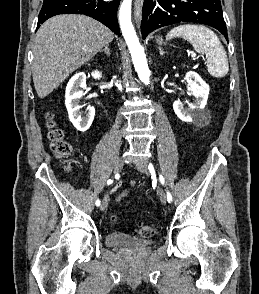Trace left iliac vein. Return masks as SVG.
Masks as SVG:
<instances>
[{
    "instance_id": "obj_1",
    "label": "left iliac vein",
    "mask_w": 259,
    "mask_h": 294,
    "mask_svg": "<svg viewBox=\"0 0 259 294\" xmlns=\"http://www.w3.org/2000/svg\"><path fill=\"white\" fill-rule=\"evenodd\" d=\"M136 168L138 171H140L141 173L144 174H149V170H148V162L144 161L142 163H139L136 165ZM159 197H160V201L162 204H166L167 203V198L166 195L164 193L163 190H159Z\"/></svg>"
}]
</instances>
